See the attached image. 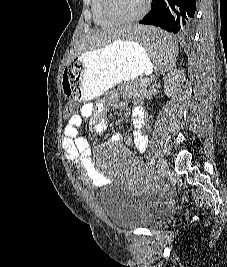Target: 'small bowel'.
Here are the masks:
<instances>
[{
	"instance_id": "obj_1",
	"label": "small bowel",
	"mask_w": 227,
	"mask_h": 267,
	"mask_svg": "<svg viewBox=\"0 0 227 267\" xmlns=\"http://www.w3.org/2000/svg\"><path fill=\"white\" fill-rule=\"evenodd\" d=\"M104 111V103L83 104L77 116L69 117L63 132L62 147L65 157L74 163L77 177L91 189L99 188L105 183L106 178L91 159L89 143L85 137L80 135L78 128L87 119L92 132L104 133L108 126L107 120L100 115ZM144 124L143 111L135 109L132 112V134L126 141L131 143L138 152H144L148 144L147 136L143 131ZM121 140V135L115 134L112 136L113 142L118 143Z\"/></svg>"
}]
</instances>
